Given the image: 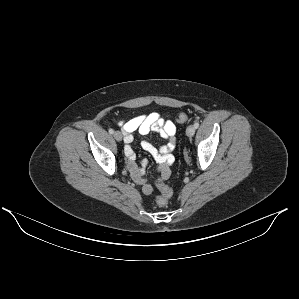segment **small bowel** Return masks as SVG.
<instances>
[{
	"mask_svg": "<svg viewBox=\"0 0 299 299\" xmlns=\"http://www.w3.org/2000/svg\"><path fill=\"white\" fill-rule=\"evenodd\" d=\"M119 126L124 134L125 154L127 156V166L135 182L142 187L144 194H151L153 192V186L144 177L145 169L148 165L146 159L142 160L138 166L136 164V155L131 148L133 142V133L138 132L142 135H146L150 132H157L166 143L157 148L148 141H142V149L150 154L157 163L156 172L158 174L156 178V184L160 186L170 176V166L174 162V149L176 147V126L175 124L165 119L158 113H149L139 115L129 120H122L119 122Z\"/></svg>",
	"mask_w": 299,
	"mask_h": 299,
	"instance_id": "c3829d8e",
	"label": "small bowel"
}]
</instances>
